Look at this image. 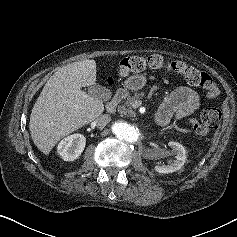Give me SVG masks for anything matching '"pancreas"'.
<instances>
[{"label": "pancreas", "instance_id": "cf45deb5", "mask_svg": "<svg viewBox=\"0 0 237 237\" xmlns=\"http://www.w3.org/2000/svg\"><path fill=\"white\" fill-rule=\"evenodd\" d=\"M138 96H128L127 100L124 102V104L118 106V112L121 114L127 115V114H132V108L131 105L133 102L137 101Z\"/></svg>", "mask_w": 237, "mask_h": 237}]
</instances>
